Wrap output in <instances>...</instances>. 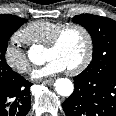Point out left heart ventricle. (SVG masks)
Here are the masks:
<instances>
[{"label":"left heart ventricle","instance_id":"b2bd125f","mask_svg":"<svg viewBox=\"0 0 116 116\" xmlns=\"http://www.w3.org/2000/svg\"><path fill=\"white\" fill-rule=\"evenodd\" d=\"M86 52V38L78 29L67 30L55 49H45L44 59H57L62 62L66 70L81 62Z\"/></svg>","mask_w":116,"mask_h":116}]
</instances>
